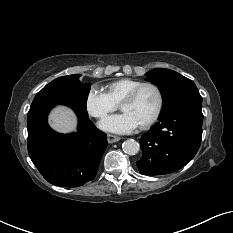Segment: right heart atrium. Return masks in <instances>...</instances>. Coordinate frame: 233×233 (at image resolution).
<instances>
[{
  "mask_svg": "<svg viewBox=\"0 0 233 233\" xmlns=\"http://www.w3.org/2000/svg\"><path fill=\"white\" fill-rule=\"evenodd\" d=\"M85 107L91 116L104 119L117 109V104L96 86H91L86 95Z\"/></svg>",
  "mask_w": 233,
  "mask_h": 233,
  "instance_id": "right-heart-atrium-1",
  "label": "right heart atrium"
}]
</instances>
